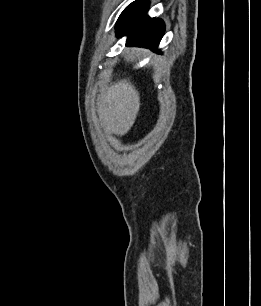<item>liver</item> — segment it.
<instances>
[{
	"mask_svg": "<svg viewBox=\"0 0 261 306\" xmlns=\"http://www.w3.org/2000/svg\"><path fill=\"white\" fill-rule=\"evenodd\" d=\"M97 108L104 130L122 136L131 129L139 112V92L129 80L123 79L102 91Z\"/></svg>",
	"mask_w": 261,
	"mask_h": 306,
	"instance_id": "1",
	"label": "liver"
}]
</instances>
